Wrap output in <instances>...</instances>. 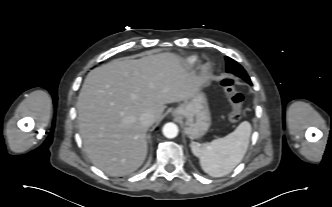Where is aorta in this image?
<instances>
[{
	"label": "aorta",
	"mask_w": 332,
	"mask_h": 207,
	"mask_svg": "<svg viewBox=\"0 0 332 207\" xmlns=\"http://www.w3.org/2000/svg\"><path fill=\"white\" fill-rule=\"evenodd\" d=\"M163 135L167 138H175L178 135V127L176 124L169 122L163 126Z\"/></svg>",
	"instance_id": "aorta-1"
}]
</instances>
